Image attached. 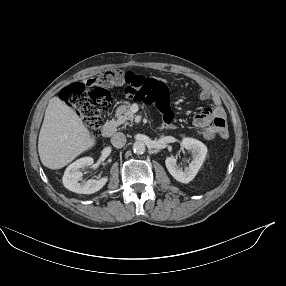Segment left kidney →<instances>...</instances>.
I'll use <instances>...</instances> for the list:
<instances>
[{"label":"left kidney","mask_w":286,"mask_h":286,"mask_svg":"<svg viewBox=\"0 0 286 286\" xmlns=\"http://www.w3.org/2000/svg\"><path fill=\"white\" fill-rule=\"evenodd\" d=\"M182 147L193 154V159L189 167L182 170L177 165V159L174 157H167L165 165L173 178L181 183H189L201 168L207 154V147L201 141L193 138H184L182 140Z\"/></svg>","instance_id":"left-kidney-1"}]
</instances>
